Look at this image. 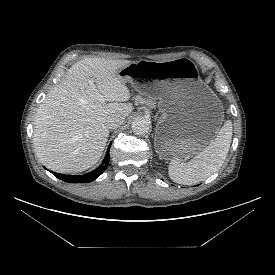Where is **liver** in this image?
<instances>
[{
  "label": "liver",
  "mask_w": 275,
  "mask_h": 275,
  "mask_svg": "<svg viewBox=\"0 0 275 275\" xmlns=\"http://www.w3.org/2000/svg\"><path fill=\"white\" fill-rule=\"evenodd\" d=\"M129 60L85 58L66 73L48 93L34 118L33 143L36 155L50 170L59 173L82 172L102 156L109 136L106 121L133 110L127 103L130 92L119 70ZM108 103H100L89 81Z\"/></svg>",
  "instance_id": "1"
}]
</instances>
